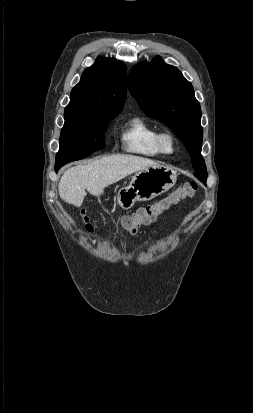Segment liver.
Listing matches in <instances>:
<instances>
[{
	"label": "liver",
	"mask_w": 253,
	"mask_h": 413,
	"mask_svg": "<svg viewBox=\"0 0 253 413\" xmlns=\"http://www.w3.org/2000/svg\"><path fill=\"white\" fill-rule=\"evenodd\" d=\"M159 164L153 160L132 155H112L93 160L86 165L68 168L62 175L58 190L60 198L80 207L86 196H100L104 189L126 176Z\"/></svg>",
	"instance_id": "liver-1"
}]
</instances>
